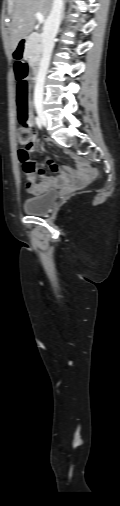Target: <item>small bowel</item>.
Wrapping results in <instances>:
<instances>
[{
	"instance_id": "c3829d8e",
	"label": "small bowel",
	"mask_w": 120,
	"mask_h": 506,
	"mask_svg": "<svg viewBox=\"0 0 120 506\" xmlns=\"http://www.w3.org/2000/svg\"><path fill=\"white\" fill-rule=\"evenodd\" d=\"M30 125L33 126L32 121L30 122ZM19 158L22 163L23 173L26 177L27 191L32 195L41 194L49 187L57 184L78 187L92 181L91 171L83 168L81 163H84V161L76 157H74V160L78 169L66 167V172L59 171V167L57 165H55L52 161H48V165L52 170L59 171V174L56 177L46 175L44 170L39 166V163L34 162L30 158H24L21 153H19ZM37 173L42 180L40 184L36 183ZM69 174L71 175V178L69 177Z\"/></svg>"
}]
</instances>
